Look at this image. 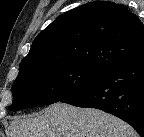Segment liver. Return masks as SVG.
I'll return each mask as SVG.
<instances>
[{
  "instance_id": "liver-1",
  "label": "liver",
  "mask_w": 144,
  "mask_h": 137,
  "mask_svg": "<svg viewBox=\"0 0 144 137\" xmlns=\"http://www.w3.org/2000/svg\"><path fill=\"white\" fill-rule=\"evenodd\" d=\"M9 137H138L121 119L94 108L57 102L36 116L10 122Z\"/></svg>"
}]
</instances>
